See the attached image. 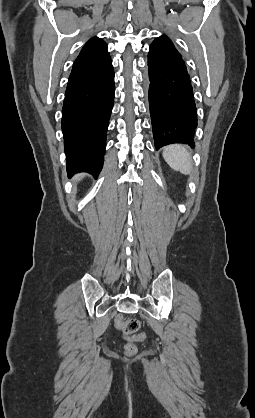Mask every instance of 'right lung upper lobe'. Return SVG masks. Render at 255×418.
Returning a JSON list of instances; mask_svg holds the SVG:
<instances>
[{
    "mask_svg": "<svg viewBox=\"0 0 255 418\" xmlns=\"http://www.w3.org/2000/svg\"><path fill=\"white\" fill-rule=\"evenodd\" d=\"M109 56L107 44L97 37L91 38L86 42L80 54L76 58L74 65H83L98 61Z\"/></svg>",
    "mask_w": 255,
    "mask_h": 418,
    "instance_id": "obj_1",
    "label": "right lung upper lobe"
}]
</instances>
